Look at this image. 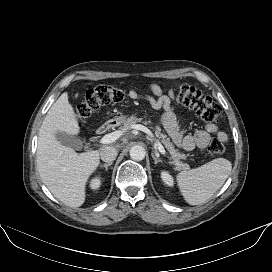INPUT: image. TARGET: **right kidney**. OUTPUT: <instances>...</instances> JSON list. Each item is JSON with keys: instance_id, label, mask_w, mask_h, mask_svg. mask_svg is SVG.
Returning <instances> with one entry per match:
<instances>
[{"instance_id": "obj_1", "label": "right kidney", "mask_w": 272, "mask_h": 272, "mask_svg": "<svg viewBox=\"0 0 272 272\" xmlns=\"http://www.w3.org/2000/svg\"><path fill=\"white\" fill-rule=\"evenodd\" d=\"M100 184H101L100 178L96 177L92 179L90 186L92 189H98L100 187Z\"/></svg>"}]
</instances>
